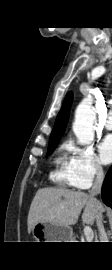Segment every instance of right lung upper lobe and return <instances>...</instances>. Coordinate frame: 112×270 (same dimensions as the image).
I'll use <instances>...</instances> for the list:
<instances>
[{
	"instance_id": "right-lung-upper-lobe-1",
	"label": "right lung upper lobe",
	"mask_w": 112,
	"mask_h": 270,
	"mask_svg": "<svg viewBox=\"0 0 112 270\" xmlns=\"http://www.w3.org/2000/svg\"><path fill=\"white\" fill-rule=\"evenodd\" d=\"M73 95L69 92L63 102L62 108L57 115L54 128L52 130L49 143L59 142L61 135L64 133L68 122L69 110L72 103Z\"/></svg>"
}]
</instances>
